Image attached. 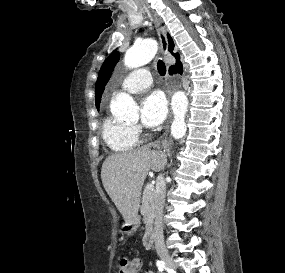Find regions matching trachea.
<instances>
[{
	"mask_svg": "<svg viewBox=\"0 0 285 273\" xmlns=\"http://www.w3.org/2000/svg\"><path fill=\"white\" fill-rule=\"evenodd\" d=\"M157 70L161 76L166 74V66L162 60H159L157 63Z\"/></svg>",
	"mask_w": 285,
	"mask_h": 273,
	"instance_id": "3493384b",
	"label": "trachea"
}]
</instances>
